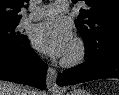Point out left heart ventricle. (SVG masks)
<instances>
[{
    "instance_id": "1",
    "label": "left heart ventricle",
    "mask_w": 119,
    "mask_h": 95,
    "mask_svg": "<svg viewBox=\"0 0 119 95\" xmlns=\"http://www.w3.org/2000/svg\"><path fill=\"white\" fill-rule=\"evenodd\" d=\"M71 50H72V47L70 48V50H69V52H68V53H70V52H71ZM68 53H67V54H68Z\"/></svg>"
}]
</instances>
